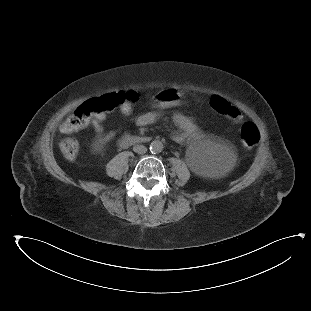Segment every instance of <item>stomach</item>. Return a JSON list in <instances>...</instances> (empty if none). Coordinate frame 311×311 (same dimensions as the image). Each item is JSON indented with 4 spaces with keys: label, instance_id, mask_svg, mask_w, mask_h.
<instances>
[{
    "label": "stomach",
    "instance_id": "0dacf381",
    "mask_svg": "<svg viewBox=\"0 0 311 311\" xmlns=\"http://www.w3.org/2000/svg\"><path fill=\"white\" fill-rule=\"evenodd\" d=\"M179 97L176 96H170V97H161V93L157 94L154 97V101L158 106H165V107H170V106H177L179 105Z\"/></svg>",
    "mask_w": 311,
    "mask_h": 311
}]
</instances>
